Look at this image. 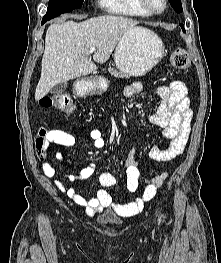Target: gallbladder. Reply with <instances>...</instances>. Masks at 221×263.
I'll use <instances>...</instances> for the list:
<instances>
[{
    "label": "gallbladder",
    "instance_id": "obj_1",
    "mask_svg": "<svg viewBox=\"0 0 221 263\" xmlns=\"http://www.w3.org/2000/svg\"><path fill=\"white\" fill-rule=\"evenodd\" d=\"M67 88V83L66 82H61L59 84H56L50 92L54 95H60L62 94Z\"/></svg>",
    "mask_w": 221,
    "mask_h": 263
}]
</instances>
